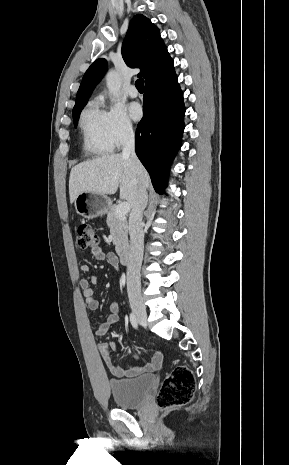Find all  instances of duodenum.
<instances>
[{
    "instance_id": "duodenum-1",
    "label": "duodenum",
    "mask_w": 289,
    "mask_h": 465,
    "mask_svg": "<svg viewBox=\"0 0 289 465\" xmlns=\"http://www.w3.org/2000/svg\"><path fill=\"white\" fill-rule=\"evenodd\" d=\"M131 250L128 247H124L120 251V260L123 265H129L131 263Z\"/></svg>"
}]
</instances>
